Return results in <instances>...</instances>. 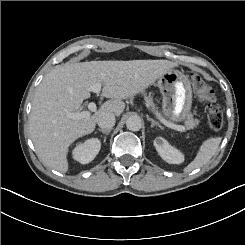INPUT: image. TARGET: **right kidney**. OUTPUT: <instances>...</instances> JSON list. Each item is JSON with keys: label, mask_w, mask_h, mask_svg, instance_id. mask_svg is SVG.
<instances>
[{"label": "right kidney", "mask_w": 245, "mask_h": 245, "mask_svg": "<svg viewBox=\"0 0 245 245\" xmlns=\"http://www.w3.org/2000/svg\"><path fill=\"white\" fill-rule=\"evenodd\" d=\"M101 142L97 138H91L78 144L72 151L73 159L81 164L91 162L99 153Z\"/></svg>", "instance_id": "ca27d5eb"}]
</instances>
